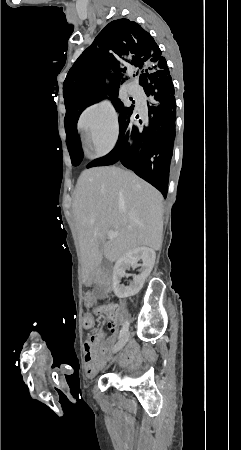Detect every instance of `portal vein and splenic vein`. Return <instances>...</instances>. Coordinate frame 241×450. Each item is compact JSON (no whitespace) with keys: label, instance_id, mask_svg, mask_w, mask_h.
<instances>
[{"label":"portal vein and splenic vein","instance_id":"1","mask_svg":"<svg viewBox=\"0 0 241 450\" xmlns=\"http://www.w3.org/2000/svg\"><path fill=\"white\" fill-rule=\"evenodd\" d=\"M117 232H112V230H109L108 232V238L111 240V238H116Z\"/></svg>","mask_w":241,"mask_h":450}]
</instances>
